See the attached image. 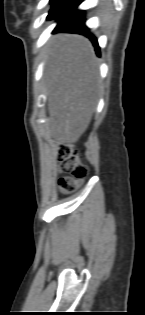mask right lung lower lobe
<instances>
[{
  "label": "right lung lower lobe",
  "instance_id": "obj_1",
  "mask_svg": "<svg viewBox=\"0 0 145 315\" xmlns=\"http://www.w3.org/2000/svg\"><path fill=\"white\" fill-rule=\"evenodd\" d=\"M82 1L83 0H68L63 5L53 17L56 18L58 23L55 31L79 33L88 36L96 47L95 51L97 55H100L97 39L93 34L89 33V29L85 26L84 11L77 10L78 5Z\"/></svg>",
  "mask_w": 145,
  "mask_h": 315
}]
</instances>
